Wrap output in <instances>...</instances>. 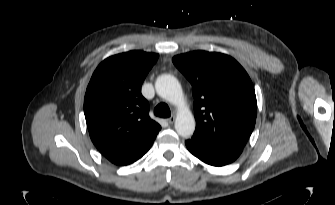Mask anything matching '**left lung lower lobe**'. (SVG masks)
Masks as SVG:
<instances>
[{
  "mask_svg": "<svg viewBox=\"0 0 335 205\" xmlns=\"http://www.w3.org/2000/svg\"><path fill=\"white\" fill-rule=\"evenodd\" d=\"M185 143L194 156L212 166H224L233 162L243 150V148L216 144L197 136H193Z\"/></svg>",
  "mask_w": 335,
  "mask_h": 205,
  "instance_id": "0a47b994",
  "label": "left lung lower lobe"
}]
</instances>
